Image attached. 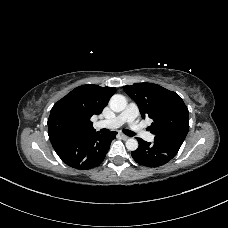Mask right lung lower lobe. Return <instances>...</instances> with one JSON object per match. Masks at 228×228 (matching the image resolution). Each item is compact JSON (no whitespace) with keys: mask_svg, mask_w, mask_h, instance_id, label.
<instances>
[{"mask_svg":"<svg viewBox=\"0 0 228 228\" xmlns=\"http://www.w3.org/2000/svg\"><path fill=\"white\" fill-rule=\"evenodd\" d=\"M116 132L101 135L96 132L85 137L65 138L52 143L61 160L68 166L85 170L98 166L105 158Z\"/></svg>","mask_w":228,"mask_h":228,"instance_id":"obj_1","label":"right lung lower lobe"}]
</instances>
